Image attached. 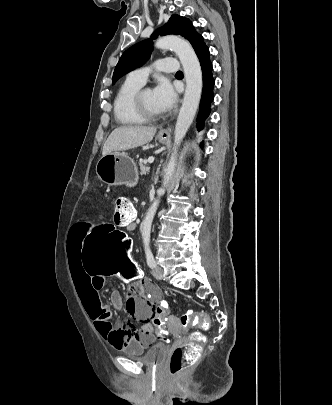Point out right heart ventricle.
I'll use <instances>...</instances> for the list:
<instances>
[{
	"mask_svg": "<svg viewBox=\"0 0 332 405\" xmlns=\"http://www.w3.org/2000/svg\"><path fill=\"white\" fill-rule=\"evenodd\" d=\"M142 86L143 84L127 78L118 89L114 99L113 109L115 120L120 125L133 126L145 122L138 116L133 104L134 96Z\"/></svg>",
	"mask_w": 332,
	"mask_h": 405,
	"instance_id": "e07e8e85",
	"label": "right heart ventricle"
}]
</instances>
